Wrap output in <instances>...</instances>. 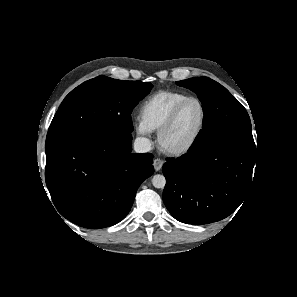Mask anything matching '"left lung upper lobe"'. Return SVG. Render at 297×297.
Listing matches in <instances>:
<instances>
[{"instance_id":"1","label":"left lung upper lobe","mask_w":297,"mask_h":297,"mask_svg":"<svg viewBox=\"0 0 297 297\" xmlns=\"http://www.w3.org/2000/svg\"><path fill=\"white\" fill-rule=\"evenodd\" d=\"M176 84L195 92L204 111L203 129L190 149L222 142L255 149L249 115L225 87L208 77Z\"/></svg>"}]
</instances>
